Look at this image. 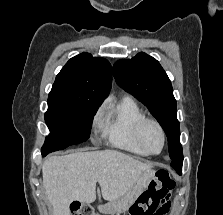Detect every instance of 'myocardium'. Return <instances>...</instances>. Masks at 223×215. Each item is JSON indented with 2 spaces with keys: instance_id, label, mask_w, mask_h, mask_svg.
I'll list each match as a JSON object with an SVG mask.
<instances>
[{
  "instance_id": "myocardium-1",
  "label": "myocardium",
  "mask_w": 223,
  "mask_h": 215,
  "mask_svg": "<svg viewBox=\"0 0 223 215\" xmlns=\"http://www.w3.org/2000/svg\"><path fill=\"white\" fill-rule=\"evenodd\" d=\"M147 124H153V125H155L157 127V129L159 130V132H160L162 143H161L160 150L157 151V152L147 151L143 147V142H142L143 130H144V127ZM136 140H137V143H138L139 147L141 148L142 153L144 155H147V156H156V155H159L162 152L163 148H164V145H165V133H164V130H163L162 126L160 125V123L158 121H156L155 119H152V118L143 117L138 122L137 127H136Z\"/></svg>"
}]
</instances>
